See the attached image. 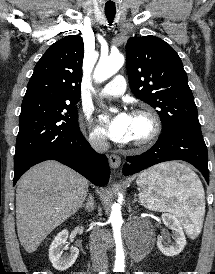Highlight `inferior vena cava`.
I'll return each instance as SVG.
<instances>
[{
	"label": "inferior vena cava",
	"mask_w": 215,
	"mask_h": 274,
	"mask_svg": "<svg viewBox=\"0 0 215 274\" xmlns=\"http://www.w3.org/2000/svg\"><path fill=\"white\" fill-rule=\"evenodd\" d=\"M92 147L98 152H106L109 145L103 136H94L90 139ZM90 253L94 271H106L108 259L103 235L98 227H95L90 234Z\"/></svg>",
	"instance_id": "1"
}]
</instances>
